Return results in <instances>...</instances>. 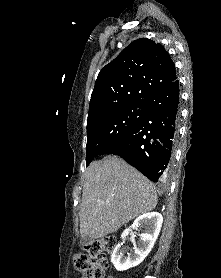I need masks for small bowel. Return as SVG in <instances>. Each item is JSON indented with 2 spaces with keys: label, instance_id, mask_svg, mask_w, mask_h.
Listing matches in <instances>:
<instances>
[{
  "label": "small bowel",
  "instance_id": "obj_1",
  "mask_svg": "<svg viewBox=\"0 0 221 278\" xmlns=\"http://www.w3.org/2000/svg\"><path fill=\"white\" fill-rule=\"evenodd\" d=\"M107 278H113L112 276H108Z\"/></svg>",
  "mask_w": 221,
  "mask_h": 278
}]
</instances>
